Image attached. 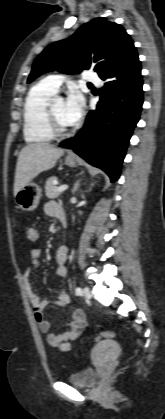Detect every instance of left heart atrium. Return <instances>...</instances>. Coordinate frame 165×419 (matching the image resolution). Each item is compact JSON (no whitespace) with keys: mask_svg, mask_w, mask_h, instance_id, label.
I'll return each instance as SVG.
<instances>
[{"mask_svg":"<svg viewBox=\"0 0 165 419\" xmlns=\"http://www.w3.org/2000/svg\"><path fill=\"white\" fill-rule=\"evenodd\" d=\"M84 110L83 95L77 91H72L65 101V116L72 124L76 123L82 116Z\"/></svg>","mask_w":165,"mask_h":419,"instance_id":"left-heart-atrium-1","label":"left heart atrium"}]
</instances>
